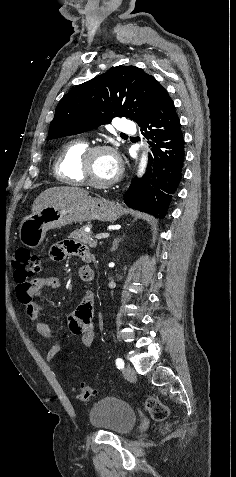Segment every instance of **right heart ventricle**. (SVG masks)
Returning <instances> with one entry per match:
<instances>
[{"instance_id": "right-heart-ventricle-1", "label": "right heart ventricle", "mask_w": 236, "mask_h": 477, "mask_svg": "<svg viewBox=\"0 0 236 477\" xmlns=\"http://www.w3.org/2000/svg\"><path fill=\"white\" fill-rule=\"evenodd\" d=\"M87 148L88 144L81 140H73L63 146L54 162V174L60 182L69 185L84 183L79 172V163Z\"/></svg>"}]
</instances>
